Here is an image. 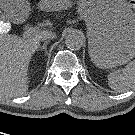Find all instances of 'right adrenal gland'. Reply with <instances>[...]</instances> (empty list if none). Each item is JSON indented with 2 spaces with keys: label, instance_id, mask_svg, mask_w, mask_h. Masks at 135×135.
I'll use <instances>...</instances> for the list:
<instances>
[{
  "label": "right adrenal gland",
  "instance_id": "right-adrenal-gland-1",
  "mask_svg": "<svg viewBox=\"0 0 135 135\" xmlns=\"http://www.w3.org/2000/svg\"><path fill=\"white\" fill-rule=\"evenodd\" d=\"M49 42L50 40L45 41L44 44L38 48V50H43L44 53L47 54V45Z\"/></svg>",
  "mask_w": 135,
  "mask_h": 135
}]
</instances>
